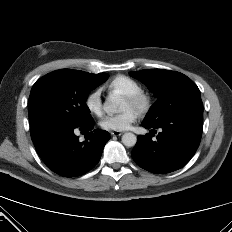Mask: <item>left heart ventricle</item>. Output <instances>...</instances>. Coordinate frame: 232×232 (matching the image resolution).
I'll return each instance as SVG.
<instances>
[{
  "label": "left heart ventricle",
  "mask_w": 232,
  "mask_h": 232,
  "mask_svg": "<svg viewBox=\"0 0 232 232\" xmlns=\"http://www.w3.org/2000/svg\"><path fill=\"white\" fill-rule=\"evenodd\" d=\"M130 108H132L131 104L125 99L122 109L127 110V109H130Z\"/></svg>",
  "instance_id": "obj_1"
}]
</instances>
